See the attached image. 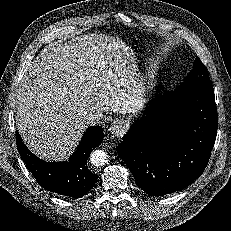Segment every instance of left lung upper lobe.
I'll use <instances>...</instances> for the list:
<instances>
[{
    "label": "left lung upper lobe",
    "instance_id": "1",
    "mask_svg": "<svg viewBox=\"0 0 231 231\" xmlns=\"http://www.w3.org/2000/svg\"><path fill=\"white\" fill-rule=\"evenodd\" d=\"M184 87H201L213 89L212 83L207 73V69L198 57H196L194 61L193 70L187 75V77L184 79V82L178 87V89Z\"/></svg>",
    "mask_w": 231,
    "mask_h": 231
}]
</instances>
